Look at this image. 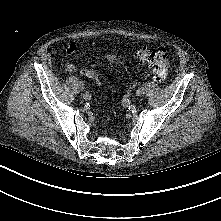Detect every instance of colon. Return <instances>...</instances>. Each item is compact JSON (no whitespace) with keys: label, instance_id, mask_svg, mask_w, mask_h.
<instances>
[{"label":"colon","instance_id":"5ec220e1","mask_svg":"<svg viewBox=\"0 0 221 221\" xmlns=\"http://www.w3.org/2000/svg\"><path fill=\"white\" fill-rule=\"evenodd\" d=\"M137 56L141 64L147 65L153 71L156 80H163L166 77L170 63L164 50L143 47L138 51ZM83 72L87 78L100 85L98 76L93 69L86 68Z\"/></svg>","mask_w":221,"mask_h":221}]
</instances>
